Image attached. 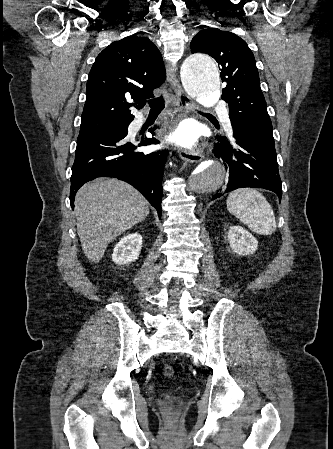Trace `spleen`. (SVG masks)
Returning a JSON list of instances; mask_svg holds the SVG:
<instances>
[{"instance_id": "obj_1", "label": "spleen", "mask_w": 333, "mask_h": 449, "mask_svg": "<svg viewBox=\"0 0 333 449\" xmlns=\"http://www.w3.org/2000/svg\"><path fill=\"white\" fill-rule=\"evenodd\" d=\"M227 209L256 233L270 235L276 230L273 209L258 190H234L227 198Z\"/></svg>"}]
</instances>
